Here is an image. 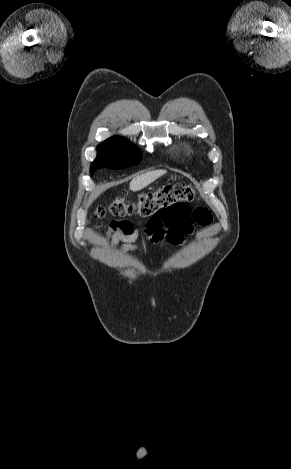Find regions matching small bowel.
Segmentation results:
<instances>
[{"label": "small bowel", "instance_id": "small-bowel-1", "mask_svg": "<svg viewBox=\"0 0 291 469\" xmlns=\"http://www.w3.org/2000/svg\"><path fill=\"white\" fill-rule=\"evenodd\" d=\"M211 220L210 213L199 216L196 212L191 213L185 207L169 209L148 220L143 234L148 244L167 241L173 245H181L185 241V235L193 233L195 222L207 226ZM110 232H116L114 236L109 237L114 249L121 252H132L136 256L139 254V247L134 242L139 238L140 232L131 222L113 221L110 224ZM120 243H123V246L120 247Z\"/></svg>", "mask_w": 291, "mask_h": 469}]
</instances>
